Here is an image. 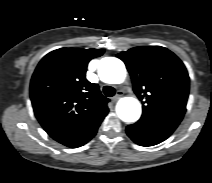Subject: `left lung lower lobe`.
<instances>
[{"instance_id":"left-lung-lower-lobe-1","label":"left lung lower lobe","mask_w":212,"mask_h":183,"mask_svg":"<svg viewBox=\"0 0 212 183\" xmlns=\"http://www.w3.org/2000/svg\"><path fill=\"white\" fill-rule=\"evenodd\" d=\"M126 132L135 143L141 146H153L167 139L173 130L138 121L127 126Z\"/></svg>"}]
</instances>
